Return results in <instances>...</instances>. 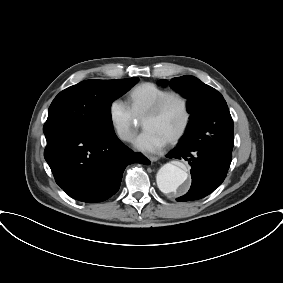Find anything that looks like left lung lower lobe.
Segmentation results:
<instances>
[{
  "label": "left lung lower lobe",
  "instance_id": "left-lung-lower-lobe-1",
  "mask_svg": "<svg viewBox=\"0 0 283 283\" xmlns=\"http://www.w3.org/2000/svg\"><path fill=\"white\" fill-rule=\"evenodd\" d=\"M201 130L198 124L188 127L177 146L167 155L184 159L191 166L192 185L184 196L176 199L179 202L209 195L224 181L231 163L232 151L206 145Z\"/></svg>",
  "mask_w": 283,
  "mask_h": 283
}]
</instances>
